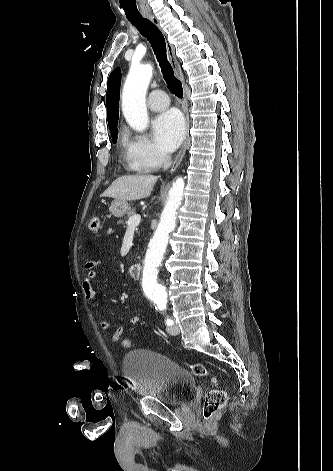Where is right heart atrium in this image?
Returning <instances> with one entry per match:
<instances>
[{
  "mask_svg": "<svg viewBox=\"0 0 333 471\" xmlns=\"http://www.w3.org/2000/svg\"><path fill=\"white\" fill-rule=\"evenodd\" d=\"M122 139L127 159L136 170L156 171L168 161V155L143 133L126 130Z\"/></svg>",
  "mask_w": 333,
  "mask_h": 471,
  "instance_id": "right-heart-atrium-1",
  "label": "right heart atrium"
}]
</instances>
